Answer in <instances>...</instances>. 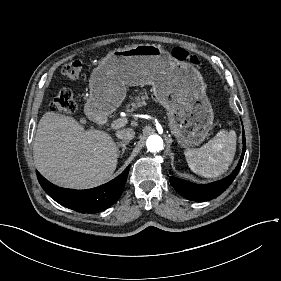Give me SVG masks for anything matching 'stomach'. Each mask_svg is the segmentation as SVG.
<instances>
[{
  "label": "stomach",
  "mask_w": 281,
  "mask_h": 281,
  "mask_svg": "<svg viewBox=\"0 0 281 281\" xmlns=\"http://www.w3.org/2000/svg\"><path fill=\"white\" fill-rule=\"evenodd\" d=\"M152 85L167 110L171 133L182 147L201 144L213 127L214 112L201 73L158 45L140 44L110 51L89 79L84 106L89 120L110 115L126 97L127 86Z\"/></svg>",
  "instance_id": "obj_1"
}]
</instances>
